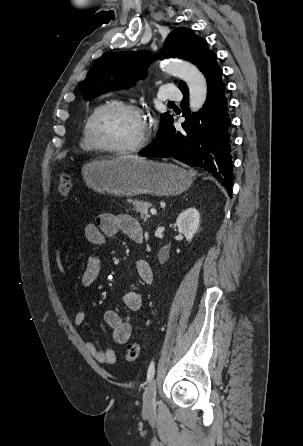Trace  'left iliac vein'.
<instances>
[{"label": "left iliac vein", "instance_id": "left-iliac-vein-1", "mask_svg": "<svg viewBox=\"0 0 303 446\" xmlns=\"http://www.w3.org/2000/svg\"><path fill=\"white\" fill-rule=\"evenodd\" d=\"M156 403V382L151 380L145 389L143 396V408L145 412H153Z\"/></svg>", "mask_w": 303, "mask_h": 446}]
</instances>
